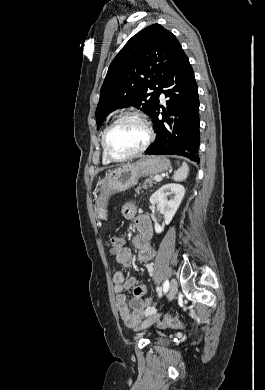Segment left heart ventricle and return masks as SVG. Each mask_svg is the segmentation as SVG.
<instances>
[{"label":"left heart ventricle","instance_id":"left-heart-ventricle-1","mask_svg":"<svg viewBox=\"0 0 265 390\" xmlns=\"http://www.w3.org/2000/svg\"><path fill=\"white\" fill-rule=\"evenodd\" d=\"M146 139L143 126L131 119L118 123L110 132L108 146L116 156H125L142 146Z\"/></svg>","mask_w":265,"mask_h":390}]
</instances>
